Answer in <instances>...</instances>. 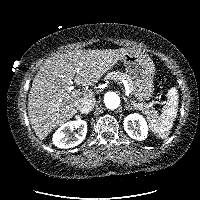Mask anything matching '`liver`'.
I'll return each instance as SVG.
<instances>
[{
  "label": "liver",
  "mask_w": 200,
  "mask_h": 200,
  "mask_svg": "<svg viewBox=\"0 0 200 200\" xmlns=\"http://www.w3.org/2000/svg\"><path fill=\"white\" fill-rule=\"evenodd\" d=\"M130 49L72 50L46 60L33 79L28 96V117L36 136L48 134L72 118L85 98H94L89 86L97 83ZM84 86L73 91L72 84Z\"/></svg>",
  "instance_id": "6515ba94"
}]
</instances>
